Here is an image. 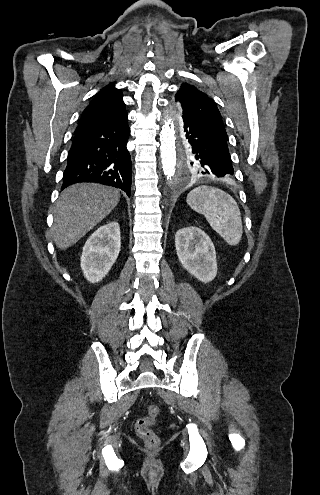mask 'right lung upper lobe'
Here are the masks:
<instances>
[{
	"label": "right lung upper lobe",
	"instance_id": "cb5924a9",
	"mask_svg": "<svg viewBox=\"0 0 320 495\" xmlns=\"http://www.w3.org/2000/svg\"><path fill=\"white\" fill-rule=\"evenodd\" d=\"M114 84L105 86L93 97L83 111L75 133L128 121L122 91Z\"/></svg>",
	"mask_w": 320,
	"mask_h": 495
}]
</instances>
